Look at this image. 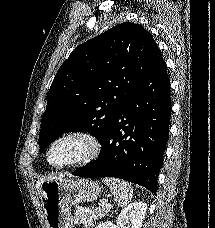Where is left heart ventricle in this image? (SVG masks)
Listing matches in <instances>:
<instances>
[{"label": "left heart ventricle", "instance_id": "1", "mask_svg": "<svg viewBox=\"0 0 215 228\" xmlns=\"http://www.w3.org/2000/svg\"><path fill=\"white\" fill-rule=\"evenodd\" d=\"M82 151V145L77 141H64L58 144L50 153L51 164L58 165L73 160Z\"/></svg>", "mask_w": 215, "mask_h": 228}]
</instances>
